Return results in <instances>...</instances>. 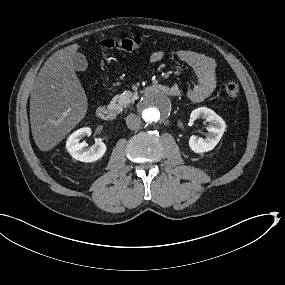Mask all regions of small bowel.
Returning a JSON list of instances; mask_svg holds the SVG:
<instances>
[{
	"label": "small bowel",
	"mask_w": 285,
	"mask_h": 285,
	"mask_svg": "<svg viewBox=\"0 0 285 285\" xmlns=\"http://www.w3.org/2000/svg\"><path fill=\"white\" fill-rule=\"evenodd\" d=\"M165 56L163 50H156L150 55V61L159 63ZM175 57L188 65L196 77V83L187 91V97L193 102L207 99L217 86L215 60L202 52L187 49L176 51ZM171 88L175 91V96L182 93L178 84H173Z\"/></svg>",
	"instance_id": "obj_1"
}]
</instances>
